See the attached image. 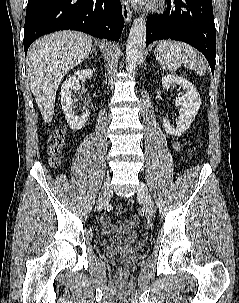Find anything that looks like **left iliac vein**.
Returning a JSON list of instances; mask_svg holds the SVG:
<instances>
[{
	"label": "left iliac vein",
	"instance_id": "left-iliac-vein-1",
	"mask_svg": "<svg viewBox=\"0 0 239 303\" xmlns=\"http://www.w3.org/2000/svg\"><path fill=\"white\" fill-rule=\"evenodd\" d=\"M137 196L142 201L145 214L151 218L154 214V204L150 192L145 184L140 183L137 190Z\"/></svg>",
	"mask_w": 239,
	"mask_h": 303
}]
</instances>
